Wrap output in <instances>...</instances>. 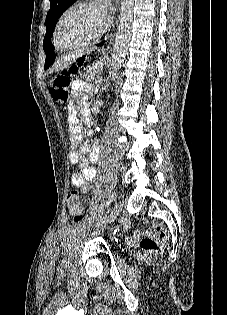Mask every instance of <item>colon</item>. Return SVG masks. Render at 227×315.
Returning a JSON list of instances; mask_svg holds the SVG:
<instances>
[{
    "label": "colon",
    "mask_w": 227,
    "mask_h": 315,
    "mask_svg": "<svg viewBox=\"0 0 227 315\" xmlns=\"http://www.w3.org/2000/svg\"><path fill=\"white\" fill-rule=\"evenodd\" d=\"M82 65L83 60L79 59L67 68L59 71L51 80L50 92L54 100L65 102L68 99L72 78L78 73ZM67 208L75 221H80L84 217V206L77 190L69 192ZM135 237L140 241L141 257L144 259H152L159 255L165 249L169 238L167 229L161 222L154 223L153 235L138 231Z\"/></svg>",
    "instance_id": "1"
}]
</instances>
